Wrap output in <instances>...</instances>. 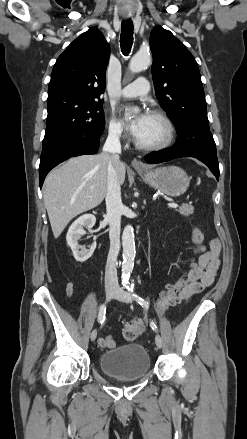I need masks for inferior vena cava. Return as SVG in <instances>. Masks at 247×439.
I'll use <instances>...</instances> for the list:
<instances>
[{
  "label": "inferior vena cava",
  "instance_id": "obj_1",
  "mask_svg": "<svg viewBox=\"0 0 247 439\" xmlns=\"http://www.w3.org/2000/svg\"><path fill=\"white\" fill-rule=\"evenodd\" d=\"M103 151L111 155L107 164L105 220L109 223L110 249L105 269V287L118 289L116 260L120 250V226L123 204L117 175V166L120 163L119 154L121 153V144L116 132H109Z\"/></svg>",
  "mask_w": 247,
  "mask_h": 439
}]
</instances>
